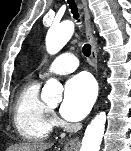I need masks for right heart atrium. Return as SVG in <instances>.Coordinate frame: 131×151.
Returning <instances> with one entry per match:
<instances>
[{
	"label": "right heart atrium",
	"instance_id": "1",
	"mask_svg": "<svg viewBox=\"0 0 131 151\" xmlns=\"http://www.w3.org/2000/svg\"><path fill=\"white\" fill-rule=\"evenodd\" d=\"M52 117H53V120H55V115L54 114H52Z\"/></svg>",
	"mask_w": 131,
	"mask_h": 151
}]
</instances>
